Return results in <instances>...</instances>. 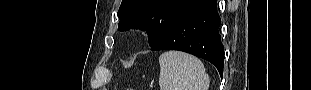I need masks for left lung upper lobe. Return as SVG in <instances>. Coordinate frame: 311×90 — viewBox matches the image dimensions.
Returning a JSON list of instances; mask_svg holds the SVG:
<instances>
[{
    "instance_id": "1",
    "label": "left lung upper lobe",
    "mask_w": 311,
    "mask_h": 90,
    "mask_svg": "<svg viewBox=\"0 0 311 90\" xmlns=\"http://www.w3.org/2000/svg\"><path fill=\"white\" fill-rule=\"evenodd\" d=\"M201 0H123L119 11V30H146L151 48L166 34L172 24Z\"/></svg>"
}]
</instances>
